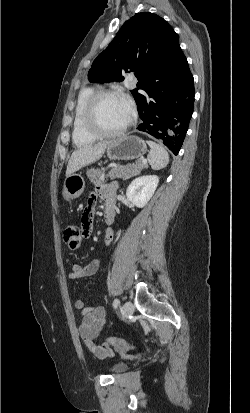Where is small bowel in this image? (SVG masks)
<instances>
[{"label":"small bowel","instance_id":"c3829d8e","mask_svg":"<svg viewBox=\"0 0 250 413\" xmlns=\"http://www.w3.org/2000/svg\"><path fill=\"white\" fill-rule=\"evenodd\" d=\"M115 190L116 186L114 184L103 185L98 187L96 192L92 193L89 196L82 216V227L80 228V236L82 238H89L91 236L92 220L94 216V208L97 195H100L106 200V209L109 207L113 208V196L115 194ZM113 236V231L111 229H107L105 232L106 245H110L112 243ZM98 270L104 271L101 259H94L84 267L78 264H74L68 273V278L71 280H79L92 276ZM75 306L76 308L81 310L82 321L79 325L78 331L80 337L84 340L88 350L98 358L111 356L113 353L111 347L97 344L95 342V339L100 334L107 320V314L104 307L99 305L87 306L86 301L83 298L77 299Z\"/></svg>","mask_w":250,"mask_h":413}]
</instances>
